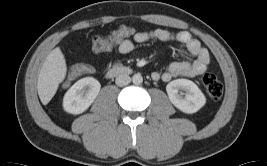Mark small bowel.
I'll use <instances>...</instances> for the list:
<instances>
[{
	"mask_svg": "<svg viewBox=\"0 0 267 166\" xmlns=\"http://www.w3.org/2000/svg\"><path fill=\"white\" fill-rule=\"evenodd\" d=\"M152 40L183 44L188 53L194 57L193 60L173 62L164 72L154 71L151 74L154 81L169 82L176 78H195L206 71L210 61L209 52L188 31H180L175 34L165 29L136 32L133 33L132 37L124 38L123 42L118 44V51L122 55H127L134 50L136 43ZM77 68L78 66L74 67L73 70L77 71ZM90 72H92L91 67Z\"/></svg>",
	"mask_w": 267,
	"mask_h": 166,
	"instance_id": "small-bowel-1",
	"label": "small bowel"
}]
</instances>
